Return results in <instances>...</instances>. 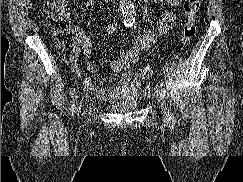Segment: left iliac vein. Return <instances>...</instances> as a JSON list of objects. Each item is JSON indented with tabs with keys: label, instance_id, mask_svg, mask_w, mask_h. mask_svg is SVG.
<instances>
[{
	"label": "left iliac vein",
	"instance_id": "obj_1",
	"mask_svg": "<svg viewBox=\"0 0 243 182\" xmlns=\"http://www.w3.org/2000/svg\"><path fill=\"white\" fill-rule=\"evenodd\" d=\"M156 95H157V99L160 102L161 105V113H162V118L164 123H168L169 122V115H168V109L166 106V102L164 100V96L163 94L160 92V90H156Z\"/></svg>",
	"mask_w": 243,
	"mask_h": 182
}]
</instances>
